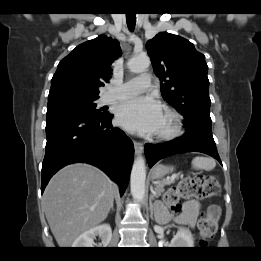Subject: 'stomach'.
Returning <instances> with one entry per match:
<instances>
[{
    "label": "stomach",
    "mask_w": 261,
    "mask_h": 261,
    "mask_svg": "<svg viewBox=\"0 0 261 261\" xmlns=\"http://www.w3.org/2000/svg\"><path fill=\"white\" fill-rule=\"evenodd\" d=\"M173 171V167L165 166L162 164L157 165L153 170H152V178L153 179H160L164 177L166 174L169 172Z\"/></svg>",
    "instance_id": "obj_1"
}]
</instances>
